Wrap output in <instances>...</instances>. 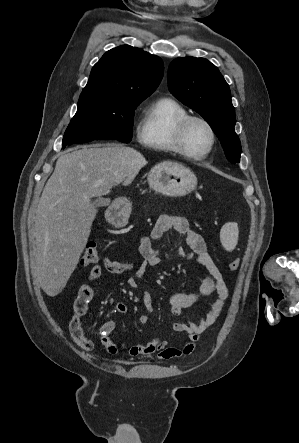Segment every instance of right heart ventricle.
Listing matches in <instances>:
<instances>
[{
    "instance_id": "1",
    "label": "right heart ventricle",
    "mask_w": 299,
    "mask_h": 443,
    "mask_svg": "<svg viewBox=\"0 0 299 443\" xmlns=\"http://www.w3.org/2000/svg\"><path fill=\"white\" fill-rule=\"evenodd\" d=\"M187 115L186 108L172 98L155 100L146 109L139 134L140 143L153 151L178 153L174 142L175 129Z\"/></svg>"
}]
</instances>
